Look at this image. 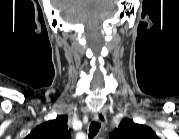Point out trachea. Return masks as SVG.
<instances>
[{
  "mask_svg": "<svg viewBox=\"0 0 179 139\" xmlns=\"http://www.w3.org/2000/svg\"><path fill=\"white\" fill-rule=\"evenodd\" d=\"M101 127V124L99 122H91L89 126V138L92 139L96 134L98 133L99 129Z\"/></svg>",
  "mask_w": 179,
  "mask_h": 139,
  "instance_id": "1",
  "label": "trachea"
}]
</instances>
